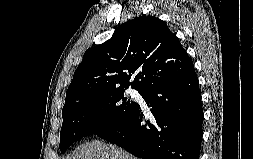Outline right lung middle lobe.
Returning <instances> with one entry per match:
<instances>
[{"label":"right lung middle lobe","instance_id":"dd1d6c3e","mask_svg":"<svg viewBox=\"0 0 253 159\" xmlns=\"http://www.w3.org/2000/svg\"><path fill=\"white\" fill-rule=\"evenodd\" d=\"M124 92L125 90L102 92L64 104L60 132L61 153L84 136L99 134L123 123L139 106L127 100Z\"/></svg>","mask_w":253,"mask_h":159}]
</instances>
